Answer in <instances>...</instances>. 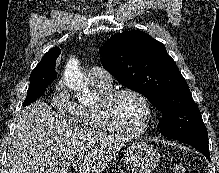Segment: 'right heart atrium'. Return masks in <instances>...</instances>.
<instances>
[{"mask_svg": "<svg viewBox=\"0 0 219 173\" xmlns=\"http://www.w3.org/2000/svg\"><path fill=\"white\" fill-rule=\"evenodd\" d=\"M51 103L61 114L77 119V105L71 98L63 81H59L52 92Z\"/></svg>", "mask_w": 219, "mask_h": 173, "instance_id": "obj_1", "label": "right heart atrium"}]
</instances>
